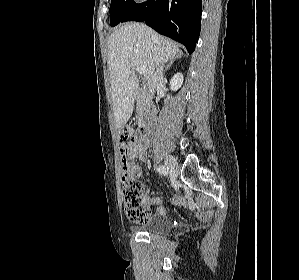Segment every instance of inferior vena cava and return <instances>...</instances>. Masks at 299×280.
Instances as JSON below:
<instances>
[{
	"mask_svg": "<svg viewBox=\"0 0 299 280\" xmlns=\"http://www.w3.org/2000/svg\"><path fill=\"white\" fill-rule=\"evenodd\" d=\"M163 81V64L160 63L157 65L156 70L153 72L151 77L148 80V89L153 95L156 89V86Z\"/></svg>",
	"mask_w": 299,
	"mask_h": 280,
	"instance_id": "obj_1",
	"label": "inferior vena cava"
}]
</instances>
